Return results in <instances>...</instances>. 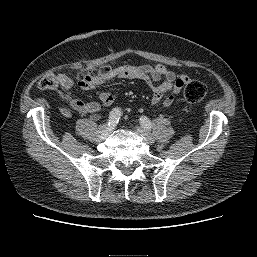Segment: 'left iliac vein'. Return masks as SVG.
<instances>
[{"label":"left iliac vein","instance_id":"left-iliac-vein-1","mask_svg":"<svg viewBox=\"0 0 257 257\" xmlns=\"http://www.w3.org/2000/svg\"><path fill=\"white\" fill-rule=\"evenodd\" d=\"M136 131L140 136L143 138V140L148 144H153L155 142V138L153 135L148 132L144 127H136Z\"/></svg>","mask_w":257,"mask_h":257}]
</instances>
